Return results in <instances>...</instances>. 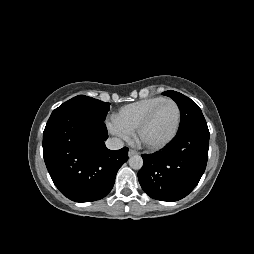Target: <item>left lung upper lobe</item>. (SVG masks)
Masks as SVG:
<instances>
[{
	"mask_svg": "<svg viewBox=\"0 0 254 254\" xmlns=\"http://www.w3.org/2000/svg\"><path fill=\"white\" fill-rule=\"evenodd\" d=\"M163 95L172 98L181 110V124L178 133L192 128H207L202 111L194 101L172 90L163 92Z\"/></svg>",
	"mask_w": 254,
	"mask_h": 254,
	"instance_id": "5c2ea615",
	"label": "left lung upper lobe"
}]
</instances>
